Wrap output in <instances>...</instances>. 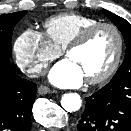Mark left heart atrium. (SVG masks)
<instances>
[{
	"mask_svg": "<svg viewBox=\"0 0 131 131\" xmlns=\"http://www.w3.org/2000/svg\"><path fill=\"white\" fill-rule=\"evenodd\" d=\"M49 79L58 87L74 88L80 86L85 78L76 64L64 59L51 69Z\"/></svg>",
	"mask_w": 131,
	"mask_h": 131,
	"instance_id": "1",
	"label": "left heart atrium"
}]
</instances>
